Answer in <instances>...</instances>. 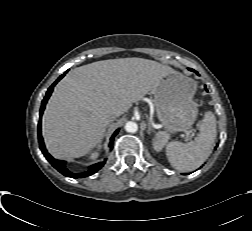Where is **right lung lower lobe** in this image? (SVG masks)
I'll use <instances>...</instances> for the list:
<instances>
[{
	"instance_id": "right-lung-lower-lobe-1",
	"label": "right lung lower lobe",
	"mask_w": 252,
	"mask_h": 231,
	"mask_svg": "<svg viewBox=\"0 0 252 231\" xmlns=\"http://www.w3.org/2000/svg\"><path fill=\"white\" fill-rule=\"evenodd\" d=\"M67 73V71L65 72ZM65 74L61 75L51 86L50 88L48 89L47 93H46V96L44 97L43 101H42V105H41V109H40V120H39V124H38V138H39V145H40V149L42 151V153L44 154V156L46 157V159L51 163V165L56 168L61 174H63L64 176L66 177H72V178H83V177H87V176H90L94 173H96L98 170H100L106 160H104L103 162H100V163H97V164H94L92 166L89 167V169L84 172V173H78V174H75V173H72L70 172L66 166H65V162L64 161H61V160H57L55 158H53L46 150L45 148V145H44V141H43V138H42V135H41V118H42V114H43V111L45 109V105L53 91V88L54 86L58 83V81L64 77ZM118 133V130H116L114 132V134L112 135L111 137V142H110V145L112 144V141L114 139V137L116 136V134Z\"/></svg>"
}]
</instances>
